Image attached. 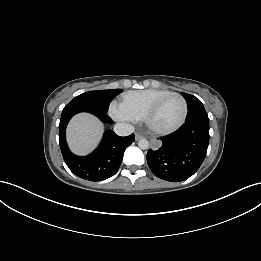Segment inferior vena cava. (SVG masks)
Wrapping results in <instances>:
<instances>
[{"instance_id": "1", "label": "inferior vena cava", "mask_w": 261, "mask_h": 261, "mask_svg": "<svg viewBox=\"0 0 261 261\" xmlns=\"http://www.w3.org/2000/svg\"><path fill=\"white\" fill-rule=\"evenodd\" d=\"M114 132L119 136H128L134 132V126L128 123H117Z\"/></svg>"}]
</instances>
